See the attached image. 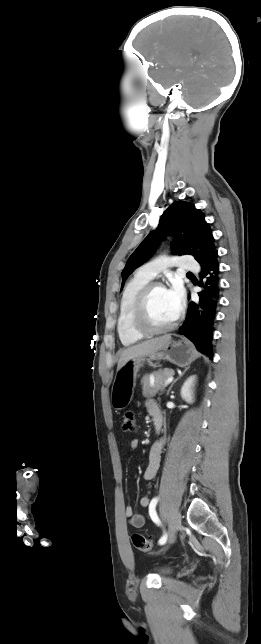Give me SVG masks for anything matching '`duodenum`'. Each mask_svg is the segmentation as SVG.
I'll use <instances>...</instances> for the list:
<instances>
[{
    "mask_svg": "<svg viewBox=\"0 0 261 644\" xmlns=\"http://www.w3.org/2000/svg\"><path fill=\"white\" fill-rule=\"evenodd\" d=\"M154 425L157 432L161 430L162 427V418L160 416L154 417Z\"/></svg>",
    "mask_w": 261,
    "mask_h": 644,
    "instance_id": "410a0bca",
    "label": "duodenum"
}]
</instances>
